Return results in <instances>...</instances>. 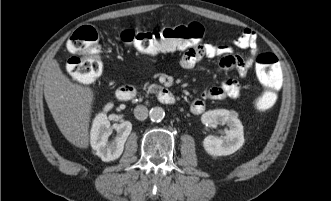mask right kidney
<instances>
[{
    "mask_svg": "<svg viewBox=\"0 0 331 201\" xmlns=\"http://www.w3.org/2000/svg\"><path fill=\"white\" fill-rule=\"evenodd\" d=\"M113 107L112 103H108L104 111L107 112ZM105 112L99 113L93 120L90 138L91 146L96 155L103 161L109 162L118 159L124 149V144L131 133L132 124L129 121H124L120 124H115L114 129L117 132L113 140H109L112 134L110 121Z\"/></svg>",
    "mask_w": 331,
    "mask_h": 201,
    "instance_id": "obj_1",
    "label": "right kidney"
}]
</instances>
